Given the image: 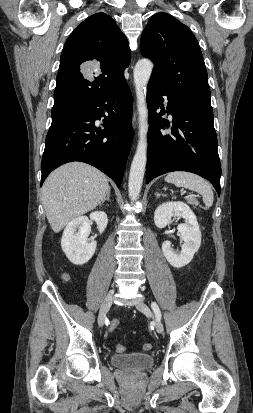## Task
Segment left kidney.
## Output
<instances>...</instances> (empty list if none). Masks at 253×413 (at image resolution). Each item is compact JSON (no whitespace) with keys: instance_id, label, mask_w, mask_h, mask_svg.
<instances>
[{"instance_id":"1","label":"left kidney","mask_w":253,"mask_h":413,"mask_svg":"<svg viewBox=\"0 0 253 413\" xmlns=\"http://www.w3.org/2000/svg\"><path fill=\"white\" fill-rule=\"evenodd\" d=\"M172 217L185 219V222L177 227L184 243L181 251L177 252L172 248L170 241H164L162 252L171 266L182 268L191 262L200 248L201 231L195 214L184 202H164L159 205L154 213L155 225L158 228H164L171 222Z\"/></svg>"}]
</instances>
